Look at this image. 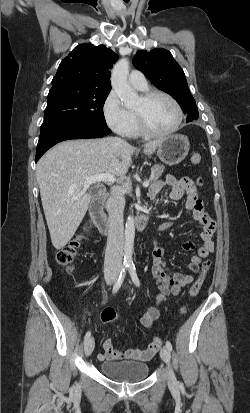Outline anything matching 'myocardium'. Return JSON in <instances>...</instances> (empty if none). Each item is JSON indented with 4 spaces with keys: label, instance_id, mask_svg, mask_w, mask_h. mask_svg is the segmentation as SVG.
Here are the masks:
<instances>
[{
    "label": "myocardium",
    "instance_id": "myocardium-1",
    "mask_svg": "<svg viewBox=\"0 0 250 413\" xmlns=\"http://www.w3.org/2000/svg\"><path fill=\"white\" fill-rule=\"evenodd\" d=\"M155 96H163L165 98H167L175 107L176 112H177V121L175 123V125L168 131L163 132V133H159V132H155L153 131L146 120L145 114L142 111L136 110L135 114L137 117V121H138V127L140 130V133L148 138H152V139H163V138H167L171 135H173L174 133H176L182 122H183V110L182 107L180 106L179 102L168 92H165L163 90H159V89H151V90H147L142 94V100L144 102H149L153 97Z\"/></svg>",
    "mask_w": 250,
    "mask_h": 413
}]
</instances>
